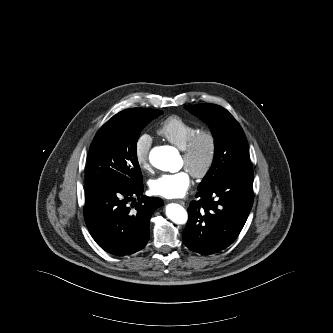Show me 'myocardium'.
<instances>
[{
  "label": "myocardium",
  "mask_w": 333,
  "mask_h": 333,
  "mask_svg": "<svg viewBox=\"0 0 333 333\" xmlns=\"http://www.w3.org/2000/svg\"><path fill=\"white\" fill-rule=\"evenodd\" d=\"M205 145V158L202 165L198 169H193L191 164L199 150ZM217 152V140L215 134L210 130L198 131L187 143L183 149V159L185 160L186 168L195 179L205 178L211 171Z\"/></svg>",
  "instance_id": "f54148a6"
}]
</instances>
